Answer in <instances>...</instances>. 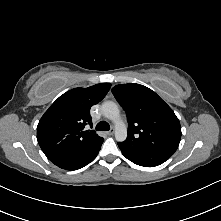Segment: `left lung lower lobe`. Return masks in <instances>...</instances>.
<instances>
[{"label": "left lung lower lobe", "instance_id": "1", "mask_svg": "<svg viewBox=\"0 0 221 221\" xmlns=\"http://www.w3.org/2000/svg\"><path fill=\"white\" fill-rule=\"evenodd\" d=\"M118 146L127 159L144 167L158 166L172 156L166 152L138 148L124 142L118 143Z\"/></svg>", "mask_w": 221, "mask_h": 221}]
</instances>
